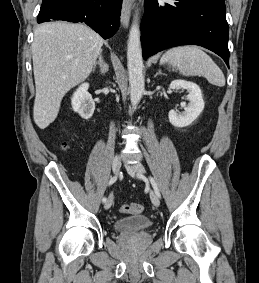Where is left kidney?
<instances>
[{"label":"left kidney","instance_id":"left-kidney-1","mask_svg":"<svg viewBox=\"0 0 259 283\" xmlns=\"http://www.w3.org/2000/svg\"><path fill=\"white\" fill-rule=\"evenodd\" d=\"M169 88L173 90L185 89L188 91L187 99L189 100V104L181 103L185 111L181 114L177 113L175 110H171L168 117L170 123L175 127L182 128L189 126L198 118L204 109V101L200 87L190 81L174 80L169 85Z\"/></svg>","mask_w":259,"mask_h":283}]
</instances>
